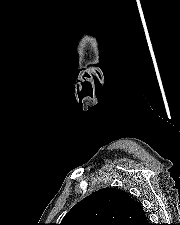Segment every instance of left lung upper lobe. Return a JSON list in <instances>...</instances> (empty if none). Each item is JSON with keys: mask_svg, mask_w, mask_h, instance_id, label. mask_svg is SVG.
I'll list each match as a JSON object with an SVG mask.
<instances>
[{"mask_svg": "<svg viewBox=\"0 0 180 225\" xmlns=\"http://www.w3.org/2000/svg\"><path fill=\"white\" fill-rule=\"evenodd\" d=\"M142 214L125 192L104 188L77 203L60 225H131Z\"/></svg>", "mask_w": 180, "mask_h": 225, "instance_id": "obj_1", "label": "left lung upper lobe"}]
</instances>
